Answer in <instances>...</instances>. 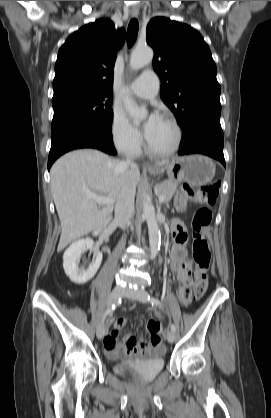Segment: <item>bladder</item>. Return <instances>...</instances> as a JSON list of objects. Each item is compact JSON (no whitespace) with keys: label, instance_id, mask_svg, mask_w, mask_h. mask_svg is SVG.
<instances>
[{"label":"bladder","instance_id":"1","mask_svg":"<svg viewBox=\"0 0 271 418\" xmlns=\"http://www.w3.org/2000/svg\"><path fill=\"white\" fill-rule=\"evenodd\" d=\"M165 367L163 352L153 353L140 363L120 362L115 369L118 373H125L129 368H135L143 381L153 380Z\"/></svg>","mask_w":271,"mask_h":418}]
</instances>
